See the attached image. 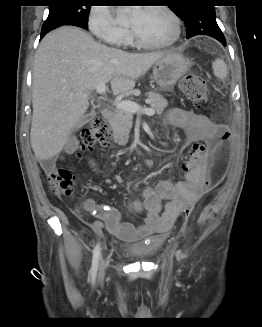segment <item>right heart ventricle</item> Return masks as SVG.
Returning <instances> with one entry per match:
<instances>
[{
  "mask_svg": "<svg viewBox=\"0 0 262 327\" xmlns=\"http://www.w3.org/2000/svg\"><path fill=\"white\" fill-rule=\"evenodd\" d=\"M132 41H131V39H128V42L127 43H131Z\"/></svg>",
  "mask_w": 262,
  "mask_h": 327,
  "instance_id": "obj_1",
  "label": "right heart ventricle"
}]
</instances>
